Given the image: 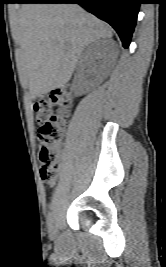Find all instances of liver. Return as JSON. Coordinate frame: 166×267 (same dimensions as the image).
I'll use <instances>...</instances> for the list:
<instances>
[{
    "mask_svg": "<svg viewBox=\"0 0 166 267\" xmlns=\"http://www.w3.org/2000/svg\"><path fill=\"white\" fill-rule=\"evenodd\" d=\"M112 29L77 4H24L13 27L19 74L33 98L67 84L84 48Z\"/></svg>",
    "mask_w": 166,
    "mask_h": 267,
    "instance_id": "liver-1",
    "label": "liver"
}]
</instances>
